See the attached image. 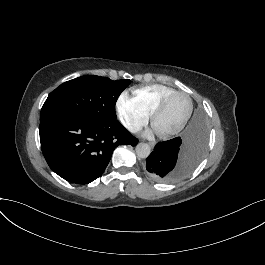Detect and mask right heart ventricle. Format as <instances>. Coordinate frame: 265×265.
I'll return each instance as SVG.
<instances>
[{"mask_svg": "<svg viewBox=\"0 0 265 265\" xmlns=\"http://www.w3.org/2000/svg\"><path fill=\"white\" fill-rule=\"evenodd\" d=\"M174 91V89L163 85H150L139 89H134L133 94L135 99L140 101L147 110L151 113L155 104L166 94Z\"/></svg>", "mask_w": 265, "mask_h": 265, "instance_id": "1", "label": "right heart ventricle"}]
</instances>
